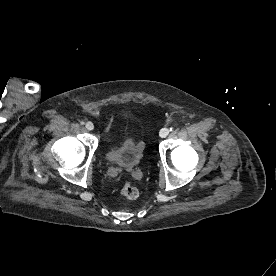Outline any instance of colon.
Instances as JSON below:
<instances>
[{
    "mask_svg": "<svg viewBox=\"0 0 276 276\" xmlns=\"http://www.w3.org/2000/svg\"><path fill=\"white\" fill-rule=\"evenodd\" d=\"M120 193L127 199H136L139 195V191L136 186L131 183H125L120 189Z\"/></svg>",
    "mask_w": 276,
    "mask_h": 276,
    "instance_id": "obj_1",
    "label": "colon"
}]
</instances>
